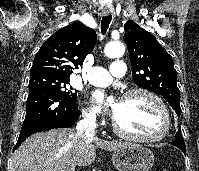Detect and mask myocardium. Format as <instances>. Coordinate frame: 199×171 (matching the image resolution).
Segmentation results:
<instances>
[{
	"label": "myocardium",
	"mask_w": 199,
	"mask_h": 171,
	"mask_svg": "<svg viewBox=\"0 0 199 171\" xmlns=\"http://www.w3.org/2000/svg\"><path fill=\"white\" fill-rule=\"evenodd\" d=\"M135 94H144L148 96L149 98H151L153 102L157 105L163 118V128L161 132L157 134L156 136H145V135H138V134L130 133L124 130L123 128H121V126L117 123V121L114 118L113 129L115 133L124 138L139 141V142H159L165 139L171 129V118H170L169 110L166 104L156 93L144 87H134V88L128 89L123 94L122 99L128 98Z\"/></svg>",
	"instance_id": "myocardium-1"
}]
</instances>
